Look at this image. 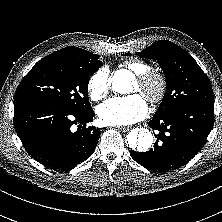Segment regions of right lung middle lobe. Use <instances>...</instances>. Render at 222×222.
I'll return each instance as SVG.
<instances>
[{
    "label": "right lung middle lobe",
    "instance_id": "right-lung-middle-lobe-1",
    "mask_svg": "<svg viewBox=\"0 0 222 222\" xmlns=\"http://www.w3.org/2000/svg\"><path fill=\"white\" fill-rule=\"evenodd\" d=\"M99 56L50 54L38 61L19 84L14 100L41 99L71 111L91 109L88 82L101 66Z\"/></svg>",
    "mask_w": 222,
    "mask_h": 222
}]
</instances>
